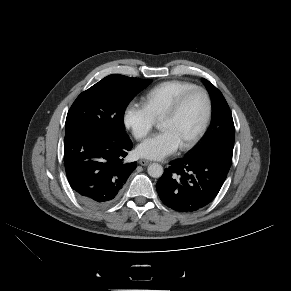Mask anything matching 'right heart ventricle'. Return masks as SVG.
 I'll return each mask as SVG.
<instances>
[{
  "label": "right heart ventricle",
  "mask_w": 291,
  "mask_h": 291,
  "mask_svg": "<svg viewBox=\"0 0 291 291\" xmlns=\"http://www.w3.org/2000/svg\"><path fill=\"white\" fill-rule=\"evenodd\" d=\"M193 87H195L193 83L183 80L161 82L143 95L142 105L155 121L160 120L175 99Z\"/></svg>",
  "instance_id": "1"
}]
</instances>
